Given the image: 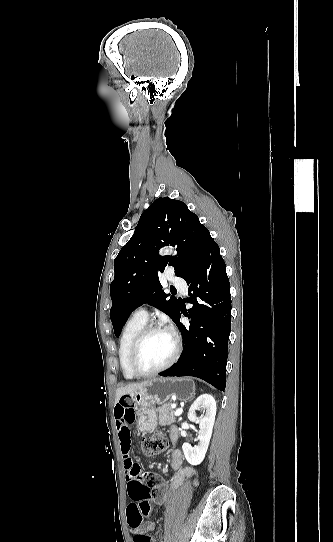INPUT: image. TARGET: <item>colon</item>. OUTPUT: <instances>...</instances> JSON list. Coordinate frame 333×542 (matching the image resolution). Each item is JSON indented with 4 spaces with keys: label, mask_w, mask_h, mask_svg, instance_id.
<instances>
[{
    "label": "colon",
    "mask_w": 333,
    "mask_h": 542,
    "mask_svg": "<svg viewBox=\"0 0 333 542\" xmlns=\"http://www.w3.org/2000/svg\"><path fill=\"white\" fill-rule=\"evenodd\" d=\"M166 447V440L161 433L146 436L140 442V450L146 457H152L160 454ZM125 467L128 469V478H138L135 482L129 485V491L126 497L128 504L126 509V517L131 525L144 524L146 516H151L153 508L151 505H139L141 501H145L151 497L150 490L160 487L162 484L161 476L147 471L145 481L142 480L143 472L140 470L138 460L136 458H127ZM139 540L144 541V537H139Z\"/></svg>",
    "instance_id": "colon-1"
}]
</instances>
